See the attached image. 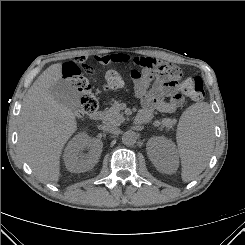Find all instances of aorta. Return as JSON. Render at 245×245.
<instances>
[{
    "label": "aorta",
    "mask_w": 245,
    "mask_h": 245,
    "mask_svg": "<svg viewBox=\"0 0 245 245\" xmlns=\"http://www.w3.org/2000/svg\"><path fill=\"white\" fill-rule=\"evenodd\" d=\"M137 139V133L132 130H128L124 132L122 135V142L128 146L134 145L137 142Z\"/></svg>",
    "instance_id": "1"
}]
</instances>
